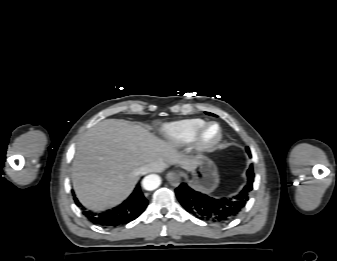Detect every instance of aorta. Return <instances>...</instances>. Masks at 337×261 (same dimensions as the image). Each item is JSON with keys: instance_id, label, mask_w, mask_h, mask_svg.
Wrapping results in <instances>:
<instances>
[{"instance_id": "1", "label": "aorta", "mask_w": 337, "mask_h": 261, "mask_svg": "<svg viewBox=\"0 0 337 261\" xmlns=\"http://www.w3.org/2000/svg\"><path fill=\"white\" fill-rule=\"evenodd\" d=\"M160 184H161V179L156 174L148 175L142 181V185L144 189L148 191L157 189L160 186Z\"/></svg>"}]
</instances>
